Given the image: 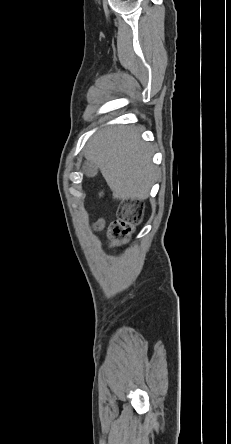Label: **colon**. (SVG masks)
I'll list each match as a JSON object with an SVG mask.
<instances>
[{"mask_svg": "<svg viewBox=\"0 0 231 444\" xmlns=\"http://www.w3.org/2000/svg\"><path fill=\"white\" fill-rule=\"evenodd\" d=\"M142 215V207L139 202H129L120 218L113 223L108 230V238L112 245H120L125 243L134 227L138 224ZM94 228L100 230L103 228V223L98 222Z\"/></svg>", "mask_w": 231, "mask_h": 444, "instance_id": "obj_1", "label": "colon"}]
</instances>
